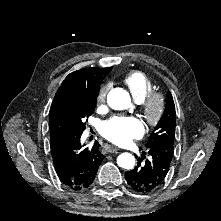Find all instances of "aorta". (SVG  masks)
I'll use <instances>...</instances> for the list:
<instances>
[{
    "label": "aorta",
    "mask_w": 221,
    "mask_h": 221,
    "mask_svg": "<svg viewBox=\"0 0 221 221\" xmlns=\"http://www.w3.org/2000/svg\"><path fill=\"white\" fill-rule=\"evenodd\" d=\"M108 105L115 110L127 109L131 99L127 91L122 88H114L107 95ZM117 164L124 169H132L135 165V158L130 153H122L117 158Z\"/></svg>",
    "instance_id": "762f6f07"
}]
</instances>
